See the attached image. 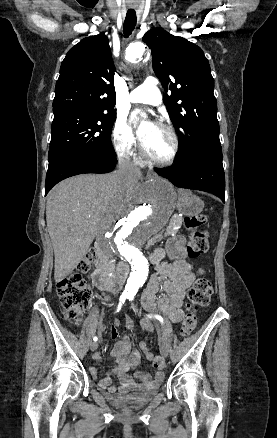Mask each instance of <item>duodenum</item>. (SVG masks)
<instances>
[{
	"mask_svg": "<svg viewBox=\"0 0 277 438\" xmlns=\"http://www.w3.org/2000/svg\"><path fill=\"white\" fill-rule=\"evenodd\" d=\"M95 250L97 251L96 269L92 274V281L94 286L103 291L112 290L114 288V280L111 275L109 263L105 254V248L100 242H96ZM150 260L153 264H157L160 260L159 254L152 253ZM126 264H120V271H124Z\"/></svg>",
	"mask_w": 277,
	"mask_h": 438,
	"instance_id": "duodenum-1",
	"label": "duodenum"
}]
</instances>
